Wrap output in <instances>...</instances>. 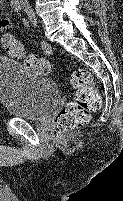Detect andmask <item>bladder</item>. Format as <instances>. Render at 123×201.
<instances>
[{
	"label": "bladder",
	"mask_w": 123,
	"mask_h": 201,
	"mask_svg": "<svg viewBox=\"0 0 123 201\" xmlns=\"http://www.w3.org/2000/svg\"><path fill=\"white\" fill-rule=\"evenodd\" d=\"M59 99L54 81L29 73L18 60L0 56V105L10 115L40 121L53 111Z\"/></svg>",
	"instance_id": "obj_1"
}]
</instances>
